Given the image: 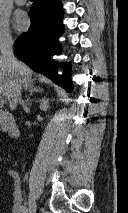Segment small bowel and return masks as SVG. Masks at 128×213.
<instances>
[{
  "mask_svg": "<svg viewBox=\"0 0 128 213\" xmlns=\"http://www.w3.org/2000/svg\"><path fill=\"white\" fill-rule=\"evenodd\" d=\"M7 172L13 183L11 213H24L25 207L23 205L19 174L17 171L12 169L8 170Z\"/></svg>",
  "mask_w": 128,
  "mask_h": 213,
  "instance_id": "1",
  "label": "small bowel"
}]
</instances>
